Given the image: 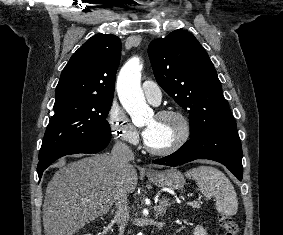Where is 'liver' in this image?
Masks as SVG:
<instances>
[{"instance_id": "1", "label": "liver", "mask_w": 283, "mask_h": 235, "mask_svg": "<svg viewBox=\"0 0 283 235\" xmlns=\"http://www.w3.org/2000/svg\"><path fill=\"white\" fill-rule=\"evenodd\" d=\"M49 182L43 204L45 235H74L89 222L106 214L114 203L117 173L111 156L98 154L65 165ZM138 176L132 166L126 177L132 193Z\"/></svg>"}]
</instances>
